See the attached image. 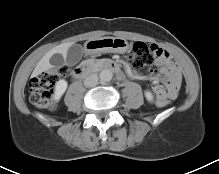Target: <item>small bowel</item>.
Masks as SVG:
<instances>
[{"mask_svg": "<svg viewBox=\"0 0 219 174\" xmlns=\"http://www.w3.org/2000/svg\"><path fill=\"white\" fill-rule=\"evenodd\" d=\"M156 53V66L160 72L166 76L163 87L160 83H153L151 85V92L159 98L175 99L178 95V90L181 82L180 70L174 62L172 55L165 49L151 45ZM126 70L134 77H138L128 66Z\"/></svg>", "mask_w": 219, "mask_h": 174, "instance_id": "obj_1", "label": "small bowel"}]
</instances>
